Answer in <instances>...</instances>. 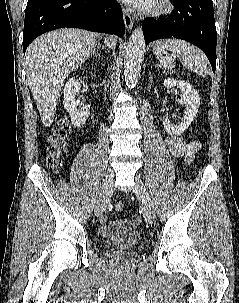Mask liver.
Returning <instances> with one entry per match:
<instances>
[{"instance_id":"6515ba94","label":"liver","mask_w":239,"mask_h":303,"mask_svg":"<svg viewBox=\"0 0 239 303\" xmlns=\"http://www.w3.org/2000/svg\"><path fill=\"white\" fill-rule=\"evenodd\" d=\"M95 42L92 32L63 28L38 37L27 48L26 79L45 127L53 123L65 79L87 60ZM104 42L116 46L114 37Z\"/></svg>"}]
</instances>
